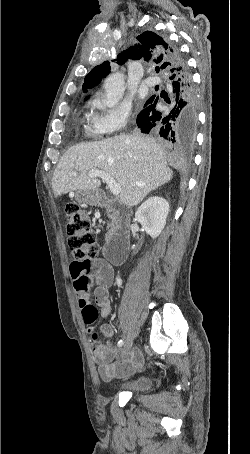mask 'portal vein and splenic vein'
Wrapping results in <instances>:
<instances>
[{
  "instance_id": "18ae733b",
  "label": "portal vein and splenic vein",
  "mask_w": 250,
  "mask_h": 454,
  "mask_svg": "<svg viewBox=\"0 0 250 454\" xmlns=\"http://www.w3.org/2000/svg\"><path fill=\"white\" fill-rule=\"evenodd\" d=\"M73 174L76 175V173H73ZM88 176L90 178L100 177L109 186L110 192L112 193V195H114V196L119 195V193L121 191V187L118 183H116L114 178H112L109 174L105 173L104 171L95 169V170H91L88 173Z\"/></svg>"
}]
</instances>
